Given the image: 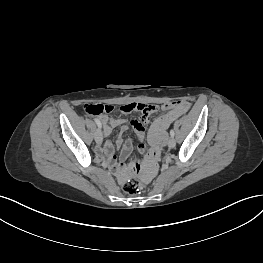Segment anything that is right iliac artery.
<instances>
[{
	"instance_id": "82829eb1",
	"label": "right iliac artery",
	"mask_w": 263,
	"mask_h": 263,
	"mask_svg": "<svg viewBox=\"0 0 263 263\" xmlns=\"http://www.w3.org/2000/svg\"><path fill=\"white\" fill-rule=\"evenodd\" d=\"M95 122H96L98 128H101V122L98 119H95Z\"/></svg>"
}]
</instances>
